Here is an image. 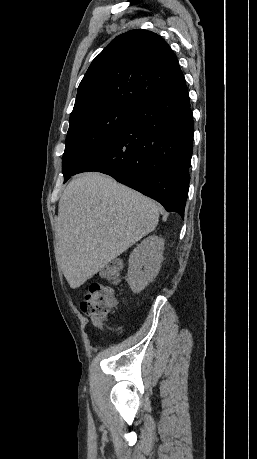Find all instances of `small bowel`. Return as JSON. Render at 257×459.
Wrapping results in <instances>:
<instances>
[{"label":"small bowel","instance_id":"small-bowel-1","mask_svg":"<svg viewBox=\"0 0 257 459\" xmlns=\"http://www.w3.org/2000/svg\"><path fill=\"white\" fill-rule=\"evenodd\" d=\"M90 323L96 327L97 329L101 330L103 328V323L101 320H97L95 318L90 319Z\"/></svg>","mask_w":257,"mask_h":459}]
</instances>
